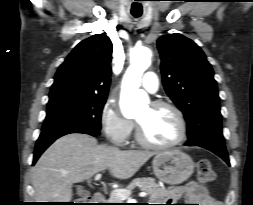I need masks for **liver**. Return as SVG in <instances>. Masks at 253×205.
Masks as SVG:
<instances>
[{
	"label": "liver",
	"mask_w": 253,
	"mask_h": 205,
	"mask_svg": "<svg viewBox=\"0 0 253 205\" xmlns=\"http://www.w3.org/2000/svg\"><path fill=\"white\" fill-rule=\"evenodd\" d=\"M154 152L120 150L98 145L87 134H68L57 139L39 158L32 170L38 202H70L72 185L109 169L117 179L131 178Z\"/></svg>",
	"instance_id": "obj_1"
}]
</instances>
